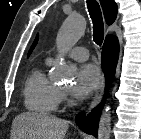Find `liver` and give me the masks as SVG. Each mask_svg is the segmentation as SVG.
I'll use <instances>...</instances> for the list:
<instances>
[{"label": "liver", "mask_w": 141, "mask_h": 139, "mask_svg": "<svg viewBox=\"0 0 141 139\" xmlns=\"http://www.w3.org/2000/svg\"><path fill=\"white\" fill-rule=\"evenodd\" d=\"M69 122L50 114L24 112L12 122L11 139H64Z\"/></svg>", "instance_id": "liver-1"}]
</instances>
